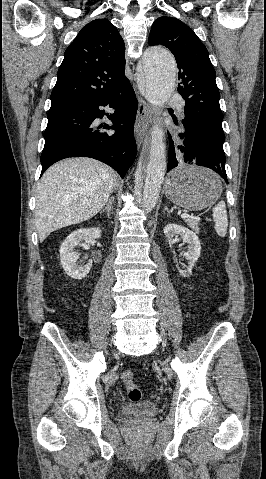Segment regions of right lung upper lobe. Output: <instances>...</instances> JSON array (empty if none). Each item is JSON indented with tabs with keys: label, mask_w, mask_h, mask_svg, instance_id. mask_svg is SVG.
Masks as SVG:
<instances>
[{
	"label": "right lung upper lobe",
	"mask_w": 266,
	"mask_h": 479,
	"mask_svg": "<svg viewBox=\"0 0 266 479\" xmlns=\"http://www.w3.org/2000/svg\"><path fill=\"white\" fill-rule=\"evenodd\" d=\"M125 44L108 19H96L78 33L64 53L51 104L112 93L129 83Z\"/></svg>",
	"instance_id": "obj_1"
}]
</instances>
